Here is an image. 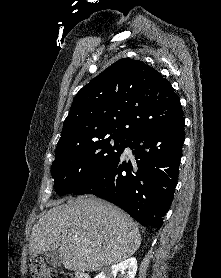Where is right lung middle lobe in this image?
Instances as JSON below:
<instances>
[{
  "label": "right lung middle lobe",
  "mask_w": 221,
  "mask_h": 278,
  "mask_svg": "<svg viewBox=\"0 0 221 278\" xmlns=\"http://www.w3.org/2000/svg\"><path fill=\"white\" fill-rule=\"evenodd\" d=\"M127 139L103 136L56 152L51 174L59 195L73 193L120 157Z\"/></svg>",
  "instance_id": "1"
}]
</instances>
